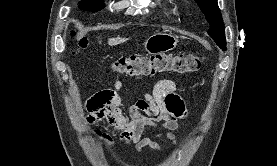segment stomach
<instances>
[{"mask_svg": "<svg viewBox=\"0 0 277 166\" xmlns=\"http://www.w3.org/2000/svg\"><path fill=\"white\" fill-rule=\"evenodd\" d=\"M176 45L177 39L173 34L159 32L146 40L144 48L149 54H160L173 50Z\"/></svg>", "mask_w": 277, "mask_h": 166, "instance_id": "0dacf381", "label": "stomach"}]
</instances>
